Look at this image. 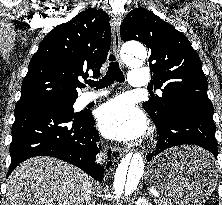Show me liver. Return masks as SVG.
Returning a JSON list of instances; mask_svg holds the SVG:
<instances>
[{"label":"liver","mask_w":222,"mask_h":205,"mask_svg":"<svg viewBox=\"0 0 222 205\" xmlns=\"http://www.w3.org/2000/svg\"><path fill=\"white\" fill-rule=\"evenodd\" d=\"M90 178L77 167L51 157L28 159L7 181L5 205H82Z\"/></svg>","instance_id":"6515ba94"}]
</instances>
